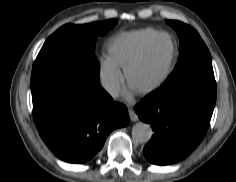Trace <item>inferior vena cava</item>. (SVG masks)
<instances>
[{
	"label": "inferior vena cava",
	"mask_w": 236,
	"mask_h": 182,
	"mask_svg": "<svg viewBox=\"0 0 236 182\" xmlns=\"http://www.w3.org/2000/svg\"><path fill=\"white\" fill-rule=\"evenodd\" d=\"M102 87L113 97L117 98L120 94L121 88L118 81L113 79H103Z\"/></svg>",
	"instance_id": "602c4592"
}]
</instances>
